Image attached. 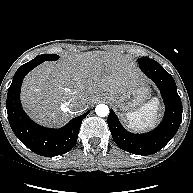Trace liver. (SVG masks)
<instances>
[{
    "instance_id": "1",
    "label": "liver",
    "mask_w": 193,
    "mask_h": 193,
    "mask_svg": "<svg viewBox=\"0 0 193 193\" xmlns=\"http://www.w3.org/2000/svg\"><path fill=\"white\" fill-rule=\"evenodd\" d=\"M140 81L132 64L119 55L83 53L35 68L23 81L21 100L38 122L59 125L79 110L69 107L71 99L82 100L87 108L105 93L122 92Z\"/></svg>"
}]
</instances>
